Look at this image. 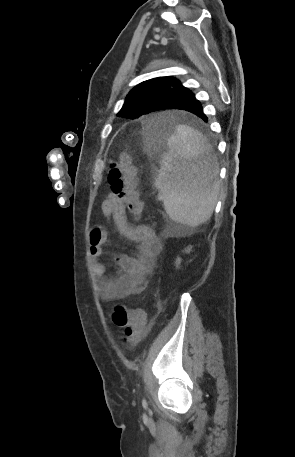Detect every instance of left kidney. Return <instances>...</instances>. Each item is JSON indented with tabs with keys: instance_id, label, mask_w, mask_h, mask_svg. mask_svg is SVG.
<instances>
[{
	"instance_id": "1",
	"label": "left kidney",
	"mask_w": 295,
	"mask_h": 457,
	"mask_svg": "<svg viewBox=\"0 0 295 457\" xmlns=\"http://www.w3.org/2000/svg\"><path fill=\"white\" fill-rule=\"evenodd\" d=\"M190 251H191V247H188V248L185 250L186 253H189ZM180 262H181V259H180V258H177V260H176V265H179Z\"/></svg>"
}]
</instances>
